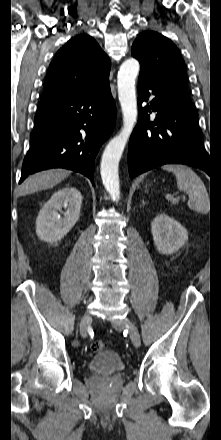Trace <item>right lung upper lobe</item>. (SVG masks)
<instances>
[{
    "label": "right lung upper lobe",
    "instance_id": "1",
    "mask_svg": "<svg viewBox=\"0 0 221 440\" xmlns=\"http://www.w3.org/2000/svg\"><path fill=\"white\" fill-rule=\"evenodd\" d=\"M110 67V59L92 37L77 35L52 60L41 100L102 91L109 86Z\"/></svg>",
    "mask_w": 221,
    "mask_h": 440
}]
</instances>
